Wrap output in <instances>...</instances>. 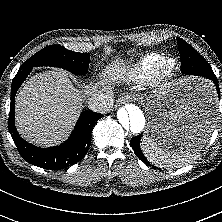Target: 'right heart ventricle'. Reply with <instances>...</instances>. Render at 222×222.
<instances>
[{
    "label": "right heart ventricle",
    "instance_id": "obj_1",
    "mask_svg": "<svg viewBox=\"0 0 222 222\" xmlns=\"http://www.w3.org/2000/svg\"><path fill=\"white\" fill-rule=\"evenodd\" d=\"M163 57L161 53L157 52L149 53L141 57L134 70L135 76L142 80L150 78L156 64Z\"/></svg>",
    "mask_w": 222,
    "mask_h": 222
}]
</instances>
